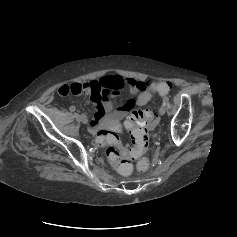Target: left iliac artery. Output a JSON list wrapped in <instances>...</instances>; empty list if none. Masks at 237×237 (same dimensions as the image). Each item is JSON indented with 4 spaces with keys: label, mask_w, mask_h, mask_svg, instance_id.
Masks as SVG:
<instances>
[{
    "label": "left iliac artery",
    "mask_w": 237,
    "mask_h": 237,
    "mask_svg": "<svg viewBox=\"0 0 237 237\" xmlns=\"http://www.w3.org/2000/svg\"><path fill=\"white\" fill-rule=\"evenodd\" d=\"M168 101H169V98H168V97H164V98H163V103H164V104L168 103Z\"/></svg>",
    "instance_id": "1"
}]
</instances>
